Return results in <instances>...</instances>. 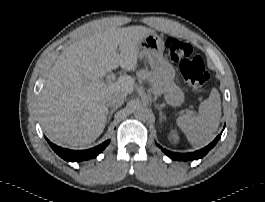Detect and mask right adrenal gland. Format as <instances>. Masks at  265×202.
I'll return each mask as SVG.
<instances>
[{
  "instance_id": "1",
  "label": "right adrenal gland",
  "mask_w": 265,
  "mask_h": 202,
  "mask_svg": "<svg viewBox=\"0 0 265 202\" xmlns=\"http://www.w3.org/2000/svg\"><path fill=\"white\" fill-rule=\"evenodd\" d=\"M115 111H116V108H112V109L109 111V113H108V120H107L108 123L110 122L111 117H112V115H113V113H114Z\"/></svg>"
}]
</instances>
